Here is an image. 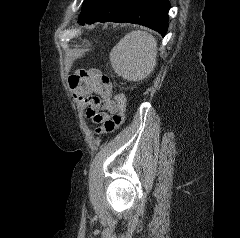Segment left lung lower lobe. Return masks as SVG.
<instances>
[{
  "label": "left lung lower lobe",
  "mask_w": 240,
  "mask_h": 238,
  "mask_svg": "<svg viewBox=\"0 0 240 238\" xmlns=\"http://www.w3.org/2000/svg\"><path fill=\"white\" fill-rule=\"evenodd\" d=\"M168 0H91L78 22L135 23L165 36L168 29Z\"/></svg>",
  "instance_id": "0a47b994"
}]
</instances>
